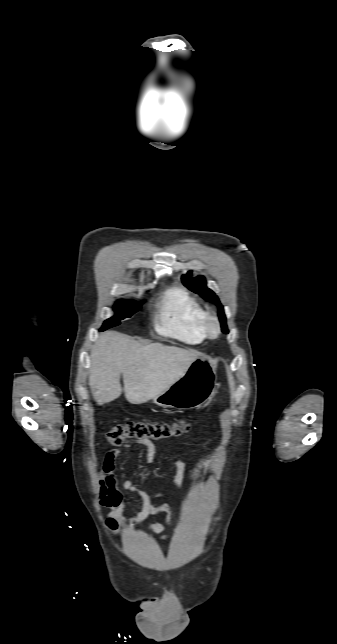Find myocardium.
Instances as JSON below:
<instances>
[{
  "label": "myocardium",
  "instance_id": "myocardium-1",
  "mask_svg": "<svg viewBox=\"0 0 337 644\" xmlns=\"http://www.w3.org/2000/svg\"><path fill=\"white\" fill-rule=\"evenodd\" d=\"M203 330L206 337L215 338L220 333V323L216 315L206 314L203 320Z\"/></svg>",
  "mask_w": 337,
  "mask_h": 644
}]
</instances>
